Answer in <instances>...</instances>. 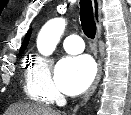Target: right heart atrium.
<instances>
[{
  "mask_svg": "<svg viewBox=\"0 0 131 115\" xmlns=\"http://www.w3.org/2000/svg\"><path fill=\"white\" fill-rule=\"evenodd\" d=\"M26 94L43 103L51 104L61 97L51 77L49 60L40 55L30 57L25 71Z\"/></svg>",
  "mask_w": 131,
  "mask_h": 115,
  "instance_id": "obj_1",
  "label": "right heart atrium"
}]
</instances>
